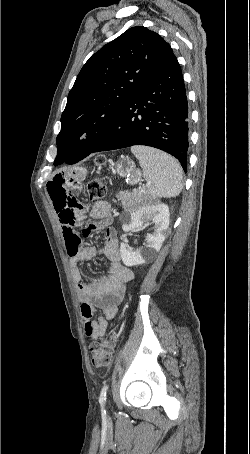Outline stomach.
<instances>
[{
  "label": "stomach",
  "mask_w": 250,
  "mask_h": 454,
  "mask_svg": "<svg viewBox=\"0 0 250 454\" xmlns=\"http://www.w3.org/2000/svg\"><path fill=\"white\" fill-rule=\"evenodd\" d=\"M114 172L127 177L130 184H136L141 178L140 171L135 169L134 163L129 158L120 159L115 163Z\"/></svg>",
  "instance_id": "obj_1"
}]
</instances>
